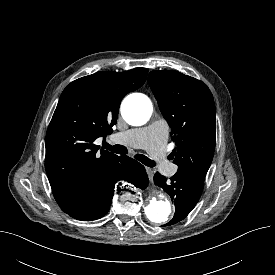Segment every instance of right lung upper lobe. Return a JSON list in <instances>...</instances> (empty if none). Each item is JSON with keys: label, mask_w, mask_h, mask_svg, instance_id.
Listing matches in <instances>:
<instances>
[{"label": "right lung upper lobe", "mask_w": 275, "mask_h": 275, "mask_svg": "<svg viewBox=\"0 0 275 275\" xmlns=\"http://www.w3.org/2000/svg\"><path fill=\"white\" fill-rule=\"evenodd\" d=\"M148 70L97 72L71 82L62 92L46 134V172L63 211L74 208L93 182L107 175L120 156L94 141L111 133L122 98L140 88Z\"/></svg>", "instance_id": "obj_1"}]
</instances>
